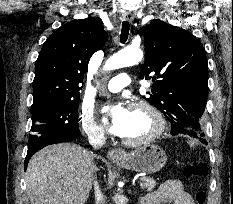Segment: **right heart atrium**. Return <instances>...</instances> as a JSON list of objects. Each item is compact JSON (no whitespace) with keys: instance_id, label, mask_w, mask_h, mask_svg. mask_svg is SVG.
Here are the masks:
<instances>
[{"instance_id":"d8ad5b80","label":"right heart atrium","mask_w":233,"mask_h":204,"mask_svg":"<svg viewBox=\"0 0 233 204\" xmlns=\"http://www.w3.org/2000/svg\"><path fill=\"white\" fill-rule=\"evenodd\" d=\"M79 127L82 134L91 143H99L105 139L103 129L96 124L91 114L86 110H82L79 114Z\"/></svg>"}]
</instances>
